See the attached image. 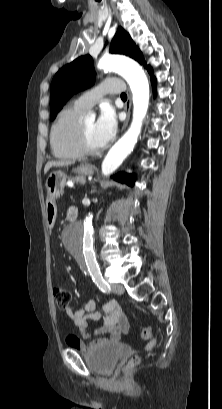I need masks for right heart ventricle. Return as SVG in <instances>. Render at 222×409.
Masks as SVG:
<instances>
[{"label":"right heart ventricle","mask_w":222,"mask_h":409,"mask_svg":"<svg viewBox=\"0 0 222 409\" xmlns=\"http://www.w3.org/2000/svg\"><path fill=\"white\" fill-rule=\"evenodd\" d=\"M85 111L73 103L59 112L50 134L51 149L56 158L75 160L82 156L76 146V133L80 118Z\"/></svg>","instance_id":"1"}]
</instances>
